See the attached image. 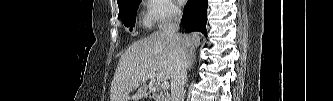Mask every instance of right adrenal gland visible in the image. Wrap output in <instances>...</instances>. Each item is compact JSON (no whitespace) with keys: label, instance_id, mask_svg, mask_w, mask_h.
Returning <instances> with one entry per match:
<instances>
[{"label":"right adrenal gland","instance_id":"1","mask_svg":"<svg viewBox=\"0 0 333 101\" xmlns=\"http://www.w3.org/2000/svg\"><path fill=\"white\" fill-rule=\"evenodd\" d=\"M196 60L195 49H190L188 52V69L192 68L193 63Z\"/></svg>","mask_w":333,"mask_h":101}]
</instances>
